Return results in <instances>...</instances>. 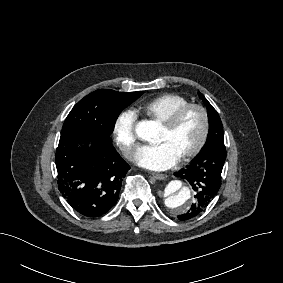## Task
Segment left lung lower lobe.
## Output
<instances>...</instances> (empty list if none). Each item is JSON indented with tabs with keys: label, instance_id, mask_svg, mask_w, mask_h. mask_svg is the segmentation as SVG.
<instances>
[{
	"label": "left lung lower lobe",
	"instance_id": "0a47b994",
	"mask_svg": "<svg viewBox=\"0 0 283 283\" xmlns=\"http://www.w3.org/2000/svg\"><path fill=\"white\" fill-rule=\"evenodd\" d=\"M226 159L224 142L205 144L201 152L186 168L175 175L186 179L195 191V203L190 210L178 216L181 221L200 215L217 194L221 186V173Z\"/></svg>",
	"mask_w": 283,
	"mask_h": 283
}]
</instances>
